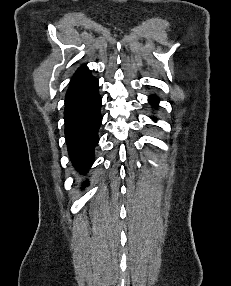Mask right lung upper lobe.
Segmentation results:
<instances>
[{
    "mask_svg": "<svg viewBox=\"0 0 231 286\" xmlns=\"http://www.w3.org/2000/svg\"><path fill=\"white\" fill-rule=\"evenodd\" d=\"M80 72H89V70H88V68H87L86 66H81V67L77 70V72L75 73V75L78 74V73H80Z\"/></svg>",
    "mask_w": 231,
    "mask_h": 286,
    "instance_id": "1",
    "label": "right lung upper lobe"
}]
</instances>
